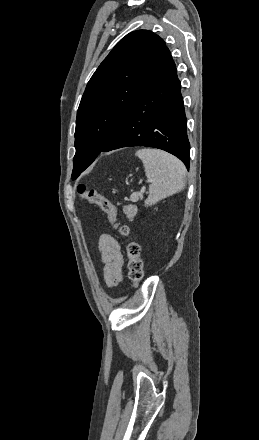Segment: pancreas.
<instances>
[{
	"label": "pancreas",
	"mask_w": 259,
	"mask_h": 440,
	"mask_svg": "<svg viewBox=\"0 0 259 440\" xmlns=\"http://www.w3.org/2000/svg\"><path fill=\"white\" fill-rule=\"evenodd\" d=\"M123 211L129 219H133L137 213V206H135V205L124 206Z\"/></svg>",
	"instance_id": "obj_1"
}]
</instances>
